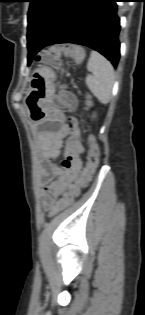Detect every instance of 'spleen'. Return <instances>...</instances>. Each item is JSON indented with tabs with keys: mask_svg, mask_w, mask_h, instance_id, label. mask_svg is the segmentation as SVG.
Wrapping results in <instances>:
<instances>
[{
	"mask_svg": "<svg viewBox=\"0 0 145 315\" xmlns=\"http://www.w3.org/2000/svg\"><path fill=\"white\" fill-rule=\"evenodd\" d=\"M87 69L91 73L85 80L87 87L101 103H109L114 84L113 66L100 53L92 51Z\"/></svg>",
	"mask_w": 145,
	"mask_h": 315,
	"instance_id": "obj_1",
	"label": "spleen"
}]
</instances>
